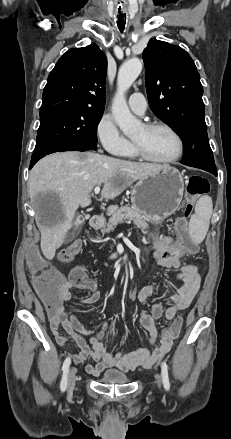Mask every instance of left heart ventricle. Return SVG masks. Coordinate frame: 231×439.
<instances>
[{
  "label": "left heart ventricle",
  "mask_w": 231,
  "mask_h": 439,
  "mask_svg": "<svg viewBox=\"0 0 231 439\" xmlns=\"http://www.w3.org/2000/svg\"><path fill=\"white\" fill-rule=\"evenodd\" d=\"M144 150L156 159H168L177 151L174 137L165 129L145 130L143 127L133 137Z\"/></svg>",
  "instance_id": "obj_1"
}]
</instances>
